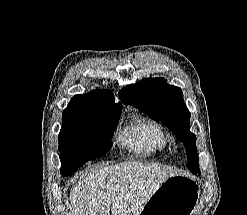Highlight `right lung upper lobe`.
<instances>
[{
  "mask_svg": "<svg viewBox=\"0 0 247 215\" xmlns=\"http://www.w3.org/2000/svg\"><path fill=\"white\" fill-rule=\"evenodd\" d=\"M72 99L88 108L98 109L105 112L120 113L122 109V104L115 103L114 94L109 90H92L86 94L76 95Z\"/></svg>",
  "mask_w": 247,
  "mask_h": 215,
  "instance_id": "right-lung-upper-lobe-1",
  "label": "right lung upper lobe"
}]
</instances>
